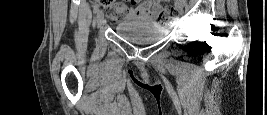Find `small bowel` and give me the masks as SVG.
Listing matches in <instances>:
<instances>
[{"instance_id":"c3829d8e","label":"small bowel","mask_w":267,"mask_h":115,"mask_svg":"<svg viewBox=\"0 0 267 115\" xmlns=\"http://www.w3.org/2000/svg\"><path fill=\"white\" fill-rule=\"evenodd\" d=\"M163 0H145L137 3L130 12V18L137 20H153L161 7Z\"/></svg>"}]
</instances>
